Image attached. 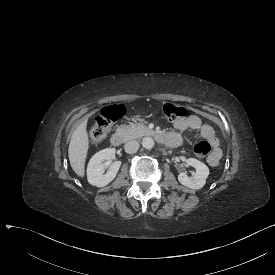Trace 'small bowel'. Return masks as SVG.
I'll list each match as a JSON object with an SVG mask.
<instances>
[{
  "label": "small bowel",
  "instance_id": "c3829d8e",
  "mask_svg": "<svg viewBox=\"0 0 275 275\" xmlns=\"http://www.w3.org/2000/svg\"><path fill=\"white\" fill-rule=\"evenodd\" d=\"M175 127L179 131H185V130H199L200 136L209 141L213 147V151L211 155L209 156V163L211 165H216L218 161L221 158V150L219 148V140L215 136L214 130L211 126L207 124H203L200 117L197 115H190L189 117L185 119H179L174 122ZM178 137L180 139L179 134H172ZM170 135V136H172Z\"/></svg>",
  "mask_w": 275,
  "mask_h": 275
}]
</instances>
